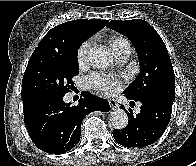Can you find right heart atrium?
Listing matches in <instances>:
<instances>
[{"label":"right heart atrium","instance_id":"right-heart-atrium-1","mask_svg":"<svg viewBox=\"0 0 196 166\" xmlns=\"http://www.w3.org/2000/svg\"><path fill=\"white\" fill-rule=\"evenodd\" d=\"M91 44V40H86L79 46L77 51V61L80 66H83L88 62Z\"/></svg>","mask_w":196,"mask_h":166}]
</instances>
